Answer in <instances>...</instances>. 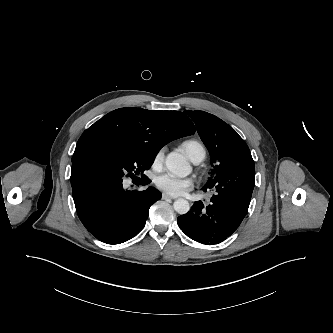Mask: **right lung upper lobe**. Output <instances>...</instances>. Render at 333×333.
<instances>
[{
    "mask_svg": "<svg viewBox=\"0 0 333 333\" xmlns=\"http://www.w3.org/2000/svg\"><path fill=\"white\" fill-rule=\"evenodd\" d=\"M195 127L182 112L141 108L114 110L90 126L79 138L76 150L92 140H110L159 151L167 143L192 135Z\"/></svg>",
    "mask_w": 333,
    "mask_h": 333,
    "instance_id": "cb5924a9",
    "label": "right lung upper lobe"
}]
</instances>
